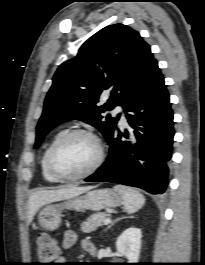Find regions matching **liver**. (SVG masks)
Returning a JSON list of instances; mask_svg holds the SVG:
<instances>
[{"mask_svg": "<svg viewBox=\"0 0 205 265\" xmlns=\"http://www.w3.org/2000/svg\"><path fill=\"white\" fill-rule=\"evenodd\" d=\"M92 188H93L92 186L80 187L76 185H68L56 190L34 191L31 194L28 201V216H27L28 224H30V222L33 220L34 215L42 206L52 202L65 200L68 198L78 196L82 193L91 190Z\"/></svg>", "mask_w": 205, "mask_h": 265, "instance_id": "1", "label": "liver"}]
</instances>
